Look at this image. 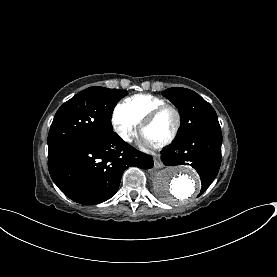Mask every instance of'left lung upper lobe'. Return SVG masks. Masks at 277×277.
Returning <instances> with one entry per match:
<instances>
[{
	"label": "left lung upper lobe",
	"instance_id": "5c2ea615",
	"mask_svg": "<svg viewBox=\"0 0 277 277\" xmlns=\"http://www.w3.org/2000/svg\"><path fill=\"white\" fill-rule=\"evenodd\" d=\"M164 96L179 110L182 126L178 138L207 130H221L212 106L194 91L173 87L167 89Z\"/></svg>",
	"mask_w": 277,
	"mask_h": 277
}]
</instances>
